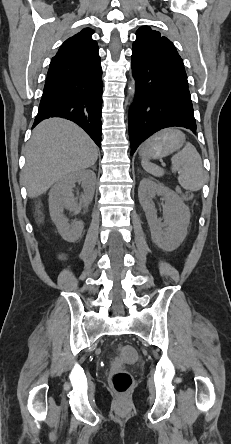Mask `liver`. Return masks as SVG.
<instances>
[{"mask_svg": "<svg viewBox=\"0 0 231 444\" xmlns=\"http://www.w3.org/2000/svg\"><path fill=\"white\" fill-rule=\"evenodd\" d=\"M25 157L21 179L28 197L35 198L65 176L93 166L98 148L73 122L50 118L33 130Z\"/></svg>", "mask_w": 231, "mask_h": 444, "instance_id": "liver-1", "label": "liver"}]
</instances>
